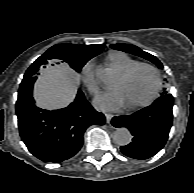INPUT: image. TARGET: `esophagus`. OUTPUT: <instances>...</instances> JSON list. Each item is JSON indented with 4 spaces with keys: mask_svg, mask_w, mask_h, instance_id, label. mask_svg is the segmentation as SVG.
I'll return each mask as SVG.
<instances>
[{
    "mask_svg": "<svg viewBox=\"0 0 194 193\" xmlns=\"http://www.w3.org/2000/svg\"><path fill=\"white\" fill-rule=\"evenodd\" d=\"M105 117H106V122L109 124L111 122V119L113 118V115L112 114H106Z\"/></svg>",
    "mask_w": 194,
    "mask_h": 193,
    "instance_id": "esophagus-1",
    "label": "esophagus"
}]
</instances>
